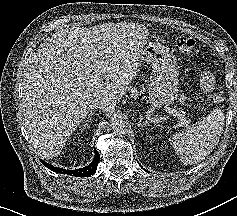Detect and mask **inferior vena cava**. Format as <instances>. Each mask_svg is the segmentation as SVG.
I'll return each mask as SVG.
<instances>
[{"label":"inferior vena cava","instance_id":"obj_1","mask_svg":"<svg viewBox=\"0 0 237 216\" xmlns=\"http://www.w3.org/2000/svg\"><path fill=\"white\" fill-rule=\"evenodd\" d=\"M116 104H111L109 100L105 99L104 97L101 99H94L88 107L90 109H97L106 112H114Z\"/></svg>","mask_w":237,"mask_h":216}]
</instances>
